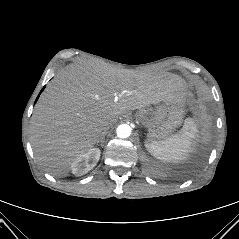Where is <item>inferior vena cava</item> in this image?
I'll list each match as a JSON object with an SVG mask.
<instances>
[{
	"mask_svg": "<svg viewBox=\"0 0 239 239\" xmlns=\"http://www.w3.org/2000/svg\"><path fill=\"white\" fill-rule=\"evenodd\" d=\"M117 120L116 119H109L103 122L102 126L103 129L106 131L107 129H109Z\"/></svg>",
	"mask_w": 239,
	"mask_h": 239,
	"instance_id": "obj_1",
	"label": "inferior vena cava"
}]
</instances>
